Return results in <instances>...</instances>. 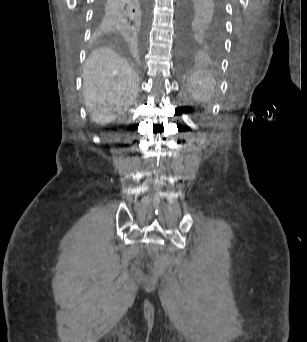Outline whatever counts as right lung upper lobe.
I'll list each match as a JSON object with an SVG mask.
<instances>
[{"label": "right lung upper lobe", "mask_w": 307, "mask_h": 342, "mask_svg": "<svg viewBox=\"0 0 307 342\" xmlns=\"http://www.w3.org/2000/svg\"><path fill=\"white\" fill-rule=\"evenodd\" d=\"M148 7V0H97L98 33L108 39H139L147 25Z\"/></svg>", "instance_id": "1"}]
</instances>
